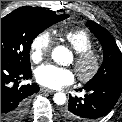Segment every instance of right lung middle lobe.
Wrapping results in <instances>:
<instances>
[{
	"label": "right lung middle lobe",
	"instance_id": "dd1d6c3e",
	"mask_svg": "<svg viewBox=\"0 0 122 122\" xmlns=\"http://www.w3.org/2000/svg\"><path fill=\"white\" fill-rule=\"evenodd\" d=\"M68 15H42L21 7L1 19V60L21 69H30L33 39Z\"/></svg>",
	"mask_w": 122,
	"mask_h": 122
}]
</instances>
